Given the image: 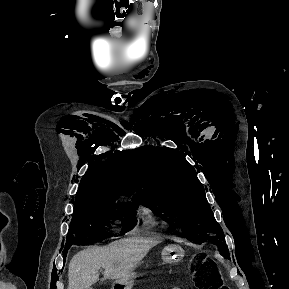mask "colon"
<instances>
[{
    "instance_id": "1",
    "label": "colon",
    "mask_w": 289,
    "mask_h": 289,
    "mask_svg": "<svg viewBox=\"0 0 289 289\" xmlns=\"http://www.w3.org/2000/svg\"><path fill=\"white\" fill-rule=\"evenodd\" d=\"M192 281L198 289H225L213 266L206 261L200 262L191 271Z\"/></svg>"
}]
</instances>
